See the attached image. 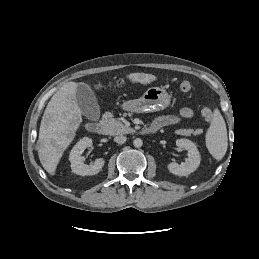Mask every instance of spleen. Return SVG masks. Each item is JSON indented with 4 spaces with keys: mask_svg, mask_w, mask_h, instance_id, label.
<instances>
[{
    "mask_svg": "<svg viewBox=\"0 0 259 259\" xmlns=\"http://www.w3.org/2000/svg\"><path fill=\"white\" fill-rule=\"evenodd\" d=\"M227 129L225 121L218 109L213 112L210 127L206 133V146L210 154L221 160L227 151Z\"/></svg>",
    "mask_w": 259,
    "mask_h": 259,
    "instance_id": "3e777b00",
    "label": "spleen"
}]
</instances>
